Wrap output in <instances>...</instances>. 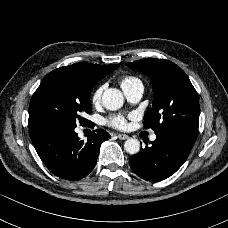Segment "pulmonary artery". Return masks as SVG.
Returning a JSON list of instances; mask_svg holds the SVG:
<instances>
[{
	"label": "pulmonary artery",
	"instance_id": "1",
	"mask_svg": "<svg viewBox=\"0 0 228 228\" xmlns=\"http://www.w3.org/2000/svg\"><path fill=\"white\" fill-rule=\"evenodd\" d=\"M124 95L127 98L128 101L132 102V103H136L138 102L142 96H143V92H144V86L143 83L141 81L133 84L130 87L124 88L123 89ZM150 140L151 141H155L156 140V134L152 133L150 135Z\"/></svg>",
	"mask_w": 228,
	"mask_h": 228
}]
</instances>
